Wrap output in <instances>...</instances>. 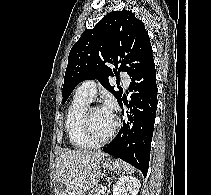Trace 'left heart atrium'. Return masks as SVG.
Wrapping results in <instances>:
<instances>
[{"mask_svg": "<svg viewBox=\"0 0 211 195\" xmlns=\"http://www.w3.org/2000/svg\"><path fill=\"white\" fill-rule=\"evenodd\" d=\"M115 108H116L115 102L112 99H107L102 109L104 110L105 113L114 117Z\"/></svg>", "mask_w": 211, "mask_h": 195, "instance_id": "1", "label": "left heart atrium"}]
</instances>
